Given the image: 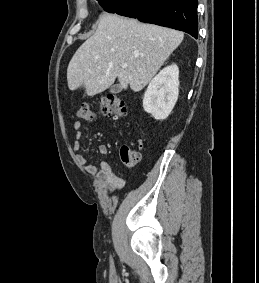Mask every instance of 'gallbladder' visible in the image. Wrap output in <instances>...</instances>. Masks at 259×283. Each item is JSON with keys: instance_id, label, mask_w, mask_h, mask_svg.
Listing matches in <instances>:
<instances>
[{"instance_id": "obj_1", "label": "gallbladder", "mask_w": 259, "mask_h": 283, "mask_svg": "<svg viewBox=\"0 0 259 283\" xmlns=\"http://www.w3.org/2000/svg\"><path fill=\"white\" fill-rule=\"evenodd\" d=\"M121 90H122L121 86L119 84H115V85L111 86L110 93L118 94V93L121 92Z\"/></svg>"}]
</instances>
